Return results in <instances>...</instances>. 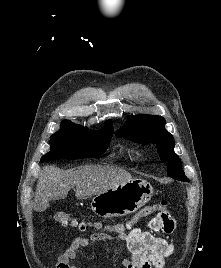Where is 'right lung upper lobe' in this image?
I'll list each match as a JSON object with an SVG mask.
<instances>
[{
	"instance_id": "obj_1",
	"label": "right lung upper lobe",
	"mask_w": 221,
	"mask_h": 268,
	"mask_svg": "<svg viewBox=\"0 0 221 268\" xmlns=\"http://www.w3.org/2000/svg\"><path fill=\"white\" fill-rule=\"evenodd\" d=\"M104 127H110V128H112V123H111V121H107L106 123H105V126ZM113 129V128H112Z\"/></svg>"
}]
</instances>
